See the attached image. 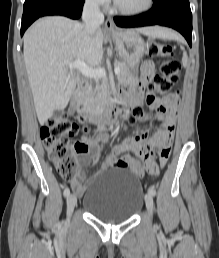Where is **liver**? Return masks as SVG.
Segmentation results:
<instances>
[{
	"mask_svg": "<svg viewBox=\"0 0 219 258\" xmlns=\"http://www.w3.org/2000/svg\"><path fill=\"white\" fill-rule=\"evenodd\" d=\"M155 28L139 32L153 36ZM23 56L38 120L44 123L72 97L77 75L69 64L79 60L95 67L103 59V31L88 35L83 24L62 16L36 21L24 35Z\"/></svg>",
	"mask_w": 219,
	"mask_h": 258,
	"instance_id": "obj_1",
	"label": "liver"
}]
</instances>
